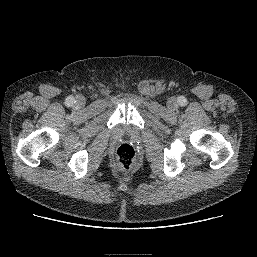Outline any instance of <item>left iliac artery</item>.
Here are the masks:
<instances>
[{"instance_id":"left-iliac-artery-1","label":"left iliac artery","mask_w":257,"mask_h":257,"mask_svg":"<svg viewBox=\"0 0 257 257\" xmlns=\"http://www.w3.org/2000/svg\"><path fill=\"white\" fill-rule=\"evenodd\" d=\"M178 102H179V104H180L181 106H184V105H186L187 100H186V98H185L184 96H180V97L178 98Z\"/></svg>"}]
</instances>
